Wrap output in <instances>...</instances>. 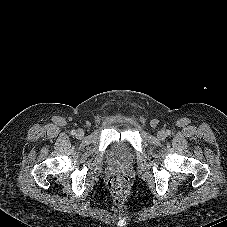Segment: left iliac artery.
Here are the masks:
<instances>
[{"instance_id": "44dca946", "label": "left iliac artery", "mask_w": 227, "mask_h": 227, "mask_svg": "<svg viewBox=\"0 0 227 227\" xmlns=\"http://www.w3.org/2000/svg\"><path fill=\"white\" fill-rule=\"evenodd\" d=\"M166 133H167V135H170V134H171V132H170L169 130H167V132H166Z\"/></svg>"}]
</instances>
